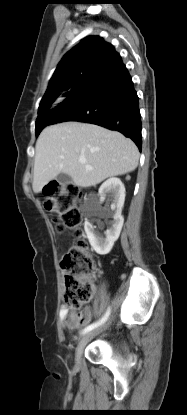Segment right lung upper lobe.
Returning a JSON list of instances; mask_svg holds the SVG:
<instances>
[{
  "label": "right lung upper lobe",
  "instance_id": "1",
  "mask_svg": "<svg viewBox=\"0 0 187 415\" xmlns=\"http://www.w3.org/2000/svg\"><path fill=\"white\" fill-rule=\"evenodd\" d=\"M120 55L99 36L84 38L58 64L39 109L52 105L62 94L113 62Z\"/></svg>",
  "mask_w": 187,
  "mask_h": 415
}]
</instances>
